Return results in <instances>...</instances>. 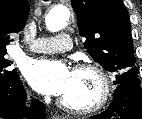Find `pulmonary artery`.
Here are the masks:
<instances>
[{"label": "pulmonary artery", "instance_id": "e3ab8cb5", "mask_svg": "<svg viewBox=\"0 0 142 119\" xmlns=\"http://www.w3.org/2000/svg\"><path fill=\"white\" fill-rule=\"evenodd\" d=\"M71 38L67 34L56 37L41 38L33 41L29 49L38 53H60L71 48Z\"/></svg>", "mask_w": 142, "mask_h": 119}]
</instances>
